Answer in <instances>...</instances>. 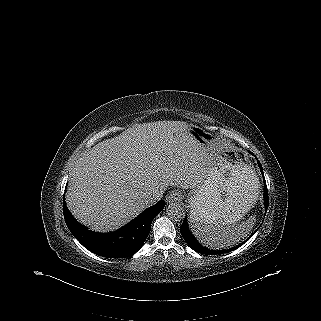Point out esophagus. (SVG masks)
I'll return each instance as SVG.
<instances>
[{
  "label": "esophagus",
  "instance_id": "obj_1",
  "mask_svg": "<svg viewBox=\"0 0 321 321\" xmlns=\"http://www.w3.org/2000/svg\"><path fill=\"white\" fill-rule=\"evenodd\" d=\"M181 193L179 191H172L166 196V201L168 203L177 202L181 199Z\"/></svg>",
  "mask_w": 321,
  "mask_h": 321
}]
</instances>
